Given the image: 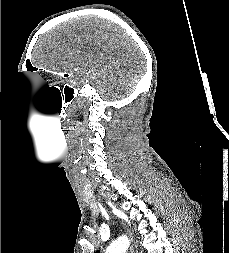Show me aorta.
<instances>
[{
  "label": "aorta",
  "instance_id": "762f6f07",
  "mask_svg": "<svg viewBox=\"0 0 229 253\" xmlns=\"http://www.w3.org/2000/svg\"><path fill=\"white\" fill-rule=\"evenodd\" d=\"M128 246L129 243L126 239L119 238L108 246L105 253H126Z\"/></svg>",
  "mask_w": 229,
  "mask_h": 253
}]
</instances>
